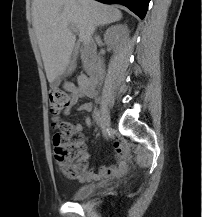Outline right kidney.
Listing matches in <instances>:
<instances>
[{
  "mask_svg": "<svg viewBox=\"0 0 202 217\" xmlns=\"http://www.w3.org/2000/svg\"><path fill=\"white\" fill-rule=\"evenodd\" d=\"M129 31L126 25L117 24L109 27L105 34L104 40L112 46L118 45L120 42L127 39Z\"/></svg>",
  "mask_w": 202,
  "mask_h": 217,
  "instance_id": "ca27d5eb",
  "label": "right kidney"
}]
</instances>
